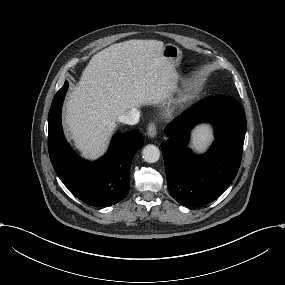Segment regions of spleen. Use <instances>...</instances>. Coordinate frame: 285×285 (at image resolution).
<instances>
[{
    "label": "spleen",
    "mask_w": 285,
    "mask_h": 285,
    "mask_svg": "<svg viewBox=\"0 0 285 285\" xmlns=\"http://www.w3.org/2000/svg\"><path fill=\"white\" fill-rule=\"evenodd\" d=\"M208 136H209V132L208 130L205 129L197 134V140L205 141Z\"/></svg>",
    "instance_id": "spleen-1"
}]
</instances>
